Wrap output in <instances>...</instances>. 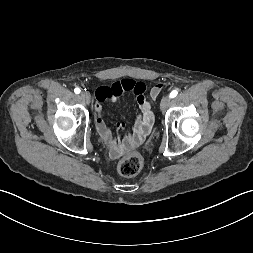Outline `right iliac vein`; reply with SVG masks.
Segmentation results:
<instances>
[{
    "mask_svg": "<svg viewBox=\"0 0 253 253\" xmlns=\"http://www.w3.org/2000/svg\"><path fill=\"white\" fill-rule=\"evenodd\" d=\"M80 98H81L83 101H85L87 104H89L90 101H91L90 95H89L87 92H81Z\"/></svg>",
    "mask_w": 253,
    "mask_h": 253,
    "instance_id": "63e3f726",
    "label": "right iliac vein"
}]
</instances>
